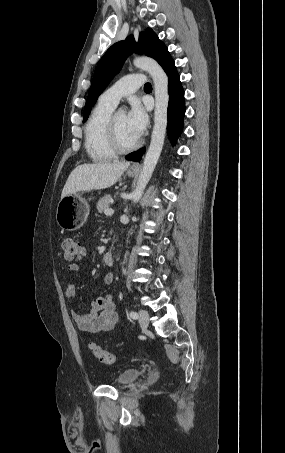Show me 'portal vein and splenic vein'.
Segmentation results:
<instances>
[{
	"instance_id": "portal-vein-and-splenic-vein-1",
	"label": "portal vein and splenic vein",
	"mask_w": 285,
	"mask_h": 453,
	"mask_svg": "<svg viewBox=\"0 0 285 453\" xmlns=\"http://www.w3.org/2000/svg\"><path fill=\"white\" fill-rule=\"evenodd\" d=\"M113 213H114V210L113 209H109V208L104 211V214L107 215V216L108 215H112Z\"/></svg>"
}]
</instances>
